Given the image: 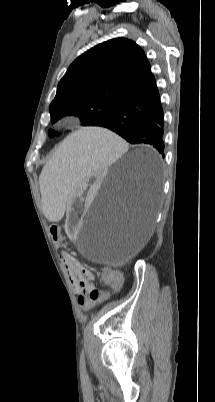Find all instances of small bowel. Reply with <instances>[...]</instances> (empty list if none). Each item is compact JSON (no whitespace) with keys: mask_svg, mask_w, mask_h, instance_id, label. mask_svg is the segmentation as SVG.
Returning <instances> with one entry per match:
<instances>
[{"mask_svg":"<svg viewBox=\"0 0 215 402\" xmlns=\"http://www.w3.org/2000/svg\"><path fill=\"white\" fill-rule=\"evenodd\" d=\"M72 281L74 284L75 291L78 294H87L89 291L93 289V284L91 282V276L88 274L87 276H78L73 275Z\"/></svg>","mask_w":215,"mask_h":402,"instance_id":"obj_1","label":"small bowel"}]
</instances>
